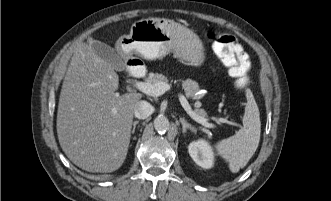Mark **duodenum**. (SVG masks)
<instances>
[{"instance_id":"duodenum-1","label":"duodenum","mask_w":331,"mask_h":201,"mask_svg":"<svg viewBox=\"0 0 331 201\" xmlns=\"http://www.w3.org/2000/svg\"><path fill=\"white\" fill-rule=\"evenodd\" d=\"M129 73L136 78L143 77L146 71L143 61L137 57L131 58L127 62Z\"/></svg>"}]
</instances>
